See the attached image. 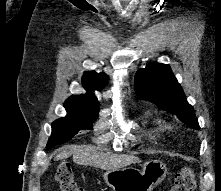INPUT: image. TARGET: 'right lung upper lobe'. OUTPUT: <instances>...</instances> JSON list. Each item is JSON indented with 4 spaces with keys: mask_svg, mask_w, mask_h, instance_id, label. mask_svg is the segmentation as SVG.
<instances>
[{
    "mask_svg": "<svg viewBox=\"0 0 221 191\" xmlns=\"http://www.w3.org/2000/svg\"><path fill=\"white\" fill-rule=\"evenodd\" d=\"M106 83L107 76L104 73L85 72L82 84L87 93L68 98L64 107L66 110L97 113L100 103L94 95V90H100Z\"/></svg>",
    "mask_w": 221,
    "mask_h": 191,
    "instance_id": "cb5924a9",
    "label": "right lung upper lobe"
}]
</instances>
